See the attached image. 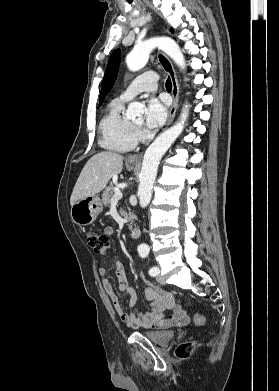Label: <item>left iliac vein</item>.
Returning <instances> with one entry per match:
<instances>
[{"label":"left iliac vein","instance_id":"left-iliac-vein-1","mask_svg":"<svg viewBox=\"0 0 279 391\" xmlns=\"http://www.w3.org/2000/svg\"><path fill=\"white\" fill-rule=\"evenodd\" d=\"M156 280H157V282L160 283V284H165V279H164L161 275H158V276L156 277Z\"/></svg>","mask_w":279,"mask_h":391}]
</instances>
